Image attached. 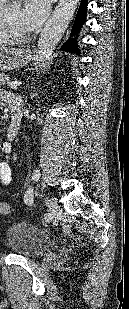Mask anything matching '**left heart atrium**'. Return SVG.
Returning a JSON list of instances; mask_svg holds the SVG:
<instances>
[{"label": "left heart atrium", "mask_w": 129, "mask_h": 309, "mask_svg": "<svg viewBox=\"0 0 129 309\" xmlns=\"http://www.w3.org/2000/svg\"><path fill=\"white\" fill-rule=\"evenodd\" d=\"M47 13L44 0H27L21 17L27 29L33 30L41 24Z\"/></svg>", "instance_id": "obj_1"}]
</instances>
